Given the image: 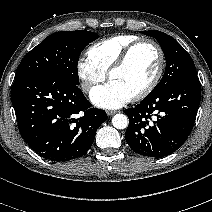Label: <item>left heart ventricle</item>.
<instances>
[{
  "label": "left heart ventricle",
  "mask_w": 212,
  "mask_h": 212,
  "mask_svg": "<svg viewBox=\"0 0 212 212\" xmlns=\"http://www.w3.org/2000/svg\"><path fill=\"white\" fill-rule=\"evenodd\" d=\"M158 67V55L153 47L142 45L132 53L126 66L115 72L111 81L134 96L153 78Z\"/></svg>",
  "instance_id": "1"
}]
</instances>
